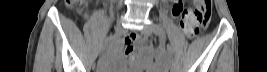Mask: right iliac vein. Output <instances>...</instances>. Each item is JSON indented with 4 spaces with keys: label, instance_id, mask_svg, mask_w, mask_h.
<instances>
[{
    "label": "right iliac vein",
    "instance_id": "right-iliac-vein-1",
    "mask_svg": "<svg viewBox=\"0 0 267 72\" xmlns=\"http://www.w3.org/2000/svg\"><path fill=\"white\" fill-rule=\"evenodd\" d=\"M123 31V27H122V22L118 23L115 27V34L118 36L122 33ZM107 44L103 45L100 49V53H103L105 48H106Z\"/></svg>",
    "mask_w": 267,
    "mask_h": 72
}]
</instances>
